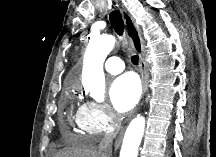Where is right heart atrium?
Here are the masks:
<instances>
[{"mask_svg":"<svg viewBox=\"0 0 216 157\" xmlns=\"http://www.w3.org/2000/svg\"><path fill=\"white\" fill-rule=\"evenodd\" d=\"M118 117L106 104L88 101L79 109L76 123L87 135L102 136L111 133L117 125Z\"/></svg>","mask_w":216,"mask_h":157,"instance_id":"1","label":"right heart atrium"}]
</instances>
